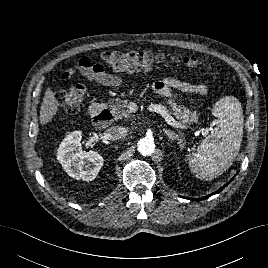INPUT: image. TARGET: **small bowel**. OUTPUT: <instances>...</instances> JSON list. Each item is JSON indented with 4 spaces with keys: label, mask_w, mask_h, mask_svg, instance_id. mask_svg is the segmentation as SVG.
<instances>
[{
    "label": "small bowel",
    "mask_w": 268,
    "mask_h": 268,
    "mask_svg": "<svg viewBox=\"0 0 268 268\" xmlns=\"http://www.w3.org/2000/svg\"><path fill=\"white\" fill-rule=\"evenodd\" d=\"M81 62L88 63L85 69L80 67ZM79 70L92 84L117 87L122 85L124 82L122 76L106 71L101 64L93 62L88 58L80 60ZM154 89L167 98H172L174 96V90H180L201 96L206 95L208 92V87L205 84L183 82L174 78H165L155 82Z\"/></svg>",
    "instance_id": "obj_1"
}]
</instances>
